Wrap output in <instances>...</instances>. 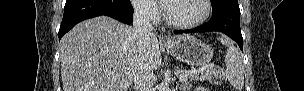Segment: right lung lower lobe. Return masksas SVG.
Returning a JSON list of instances; mask_svg holds the SVG:
<instances>
[{
  "label": "right lung lower lobe",
  "instance_id": "right-lung-lower-lobe-1",
  "mask_svg": "<svg viewBox=\"0 0 304 91\" xmlns=\"http://www.w3.org/2000/svg\"><path fill=\"white\" fill-rule=\"evenodd\" d=\"M133 7L129 2L116 0H66L64 16L59 29V39L77 23L100 15L110 16L125 24L133 18Z\"/></svg>",
  "mask_w": 304,
  "mask_h": 91
}]
</instances>
